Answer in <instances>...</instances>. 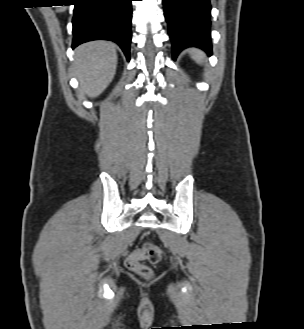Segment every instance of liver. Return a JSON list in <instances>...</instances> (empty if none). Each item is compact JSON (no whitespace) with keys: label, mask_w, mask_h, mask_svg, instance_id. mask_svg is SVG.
I'll return each mask as SVG.
<instances>
[{"label":"liver","mask_w":304,"mask_h":329,"mask_svg":"<svg viewBox=\"0 0 304 329\" xmlns=\"http://www.w3.org/2000/svg\"><path fill=\"white\" fill-rule=\"evenodd\" d=\"M116 66V46L112 42L92 41L75 51V74L81 90L90 98L99 96L111 83Z\"/></svg>","instance_id":"liver-1"}]
</instances>
